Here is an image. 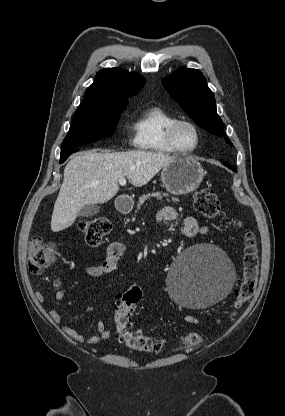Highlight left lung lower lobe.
Returning <instances> with one entry per match:
<instances>
[{
	"label": "left lung lower lobe",
	"mask_w": 285,
	"mask_h": 416,
	"mask_svg": "<svg viewBox=\"0 0 285 416\" xmlns=\"http://www.w3.org/2000/svg\"><path fill=\"white\" fill-rule=\"evenodd\" d=\"M222 164L225 165L226 167H228L229 169L233 170L234 172H237V170L231 164H228V163H225V162H223Z\"/></svg>",
	"instance_id": "obj_1"
}]
</instances>
